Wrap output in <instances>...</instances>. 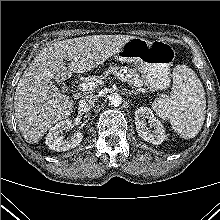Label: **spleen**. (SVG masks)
<instances>
[{"instance_id": "spleen-1", "label": "spleen", "mask_w": 220, "mask_h": 220, "mask_svg": "<svg viewBox=\"0 0 220 220\" xmlns=\"http://www.w3.org/2000/svg\"><path fill=\"white\" fill-rule=\"evenodd\" d=\"M152 107L158 116L170 120L172 128L182 138H194L202 128L206 114L202 83L191 68L177 65L170 96L158 98Z\"/></svg>"}]
</instances>
